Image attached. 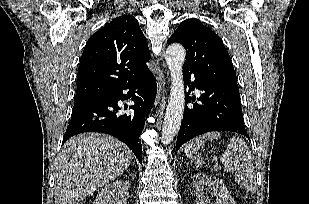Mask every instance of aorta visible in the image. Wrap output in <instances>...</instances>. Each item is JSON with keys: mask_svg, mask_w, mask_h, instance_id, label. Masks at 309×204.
Instances as JSON below:
<instances>
[{"mask_svg": "<svg viewBox=\"0 0 309 204\" xmlns=\"http://www.w3.org/2000/svg\"><path fill=\"white\" fill-rule=\"evenodd\" d=\"M165 60L171 74V89L162 127L161 141L164 145H167L180 129L185 108V89L182 75L185 49L180 44L169 45L165 52Z\"/></svg>", "mask_w": 309, "mask_h": 204, "instance_id": "762f6f07", "label": "aorta"}]
</instances>
